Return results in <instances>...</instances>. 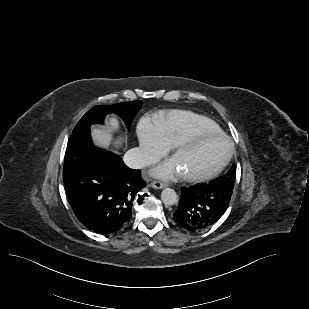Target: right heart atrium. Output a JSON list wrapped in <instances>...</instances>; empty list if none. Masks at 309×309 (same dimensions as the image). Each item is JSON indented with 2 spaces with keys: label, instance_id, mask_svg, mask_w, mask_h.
<instances>
[{
  "label": "right heart atrium",
  "instance_id": "d8ad5b80",
  "mask_svg": "<svg viewBox=\"0 0 309 309\" xmlns=\"http://www.w3.org/2000/svg\"><path fill=\"white\" fill-rule=\"evenodd\" d=\"M139 157L142 164H152L165 156L171 149L170 143L166 140L156 124L148 120L139 123L138 130Z\"/></svg>",
  "mask_w": 309,
  "mask_h": 309
}]
</instances>
